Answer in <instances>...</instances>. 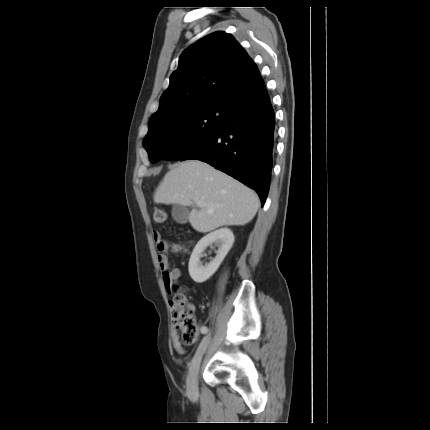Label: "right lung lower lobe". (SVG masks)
<instances>
[{
  "label": "right lung lower lobe",
  "mask_w": 430,
  "mask_h": 430,
  "mask_svg": "<svg viewBox=\"0 0 430 430\" xmlns=\"http://www.w3.org/2000/svg\"><path fill=\"white\" fill-rule=\"evenodd\" d=\"M225 106L223 127L181 160L209 163L254 189L265 203L271 180L276 121L264 82Z\"/></svg>",
  "instance_id": "right-lung-lower-lobe-1"
}]
</instances>
